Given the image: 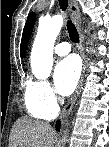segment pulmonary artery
Masks as SVG:
<instances>
[{
  "mask_svg": "<svg viewBox=\"0 0 109 147\" xmlns=\"http://www.w3.org/2000/svg\"><path fill=\"white\" fill-rule=\"evenodd\" d=\"M71 51V46L68 42H60L55 45L54 53L58 56H65ZM54 116L48 117L47 120L53 119Z\"/></svg>",
  "mask_w": 109,
  "mask_h": 147,
  "instance_id": "pulmonary-artery-1",
  "label": "pulmonary artery"
}]
</instances>
